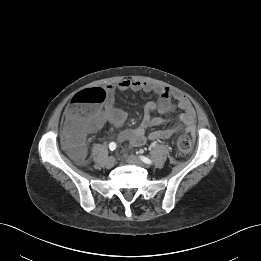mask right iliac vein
<instances>
[{
    "label": "right iliac vein",
    "mask_w": 261,
    "mask_h": 261,
    "mask_svg": "<svg viewBox=\"0 0 261 261\" xmlns=\"http://www.w3.org/2000/svg\"><path fill=\"white\" fill-rule=\"evenodd\" d=\"M115 164V158L114 157H109L107 158L106 162H105V166L107 168H112Z\"/></svg>",
    "instance_id": "right-iliac-vein-1"
}]
</instances>
